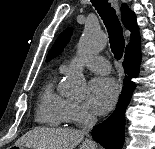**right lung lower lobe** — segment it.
Masks as SVG:
<instances>
[{
  "instance_id": "98d812e1",
  "label": "right lung lower lobe",
  "mask_w": 155,
  "mask_h": 149,
  "mask_svg": "<svg viewBox=\"0 0 155 149\" xmlns=\"http://www.w3.org/2000/svg\"><path fill=\"white\" fill-rule=\"evenodd\" d=\"M141 55L127 56L123 62L125 79L122 94L113 114L104 122L93 127L92 137L105 149H121L124 142L125 110L130 102L135 84L130 80L139 73Z\"/></svg>"
}]
</instances>
